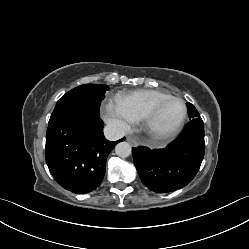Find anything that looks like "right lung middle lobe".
Instances as JSON below:
<instances>
[{
    "label": "right lung middle lobe",
    "mask_w": 249,
    "mask_h": 249,
    "mask_svg": "<svg viewBox=\"0 0 249 249\" xmlns=\"http://www.w3.org/2000/svg\"><path fill=\"white\" fill-rule=\"evenodd\" d=\"M108 89L106 85L84 84L70 90L56 103L48 125L72 112L81 110L99 112L100 103Z\"/></svg>",
    "instance_id": "right-lung-middle-lobe-1"
}]
</instances>
